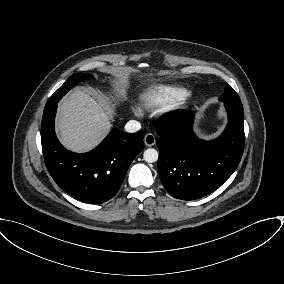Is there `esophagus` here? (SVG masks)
Segmentation results:
<instances>
[{
    "label": "esophagus",
    "mask_w": 284,
    "mask_h": 284,
    "mask_svg": "<svg viewBox=\"0 0 284 284\" xmlns=\"http://www.w3.org/2000/svg\"><path fill=\"white\" fill-rule=\"evenodd\" d=\"M144 143L148 147L155 145V143H156L155 136L152 133H147L144 137Z\"/></svg>",
    "instance_id": "esophagus-1"
}]
</instances>
